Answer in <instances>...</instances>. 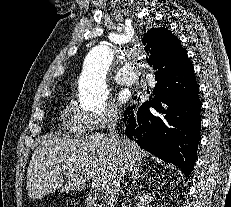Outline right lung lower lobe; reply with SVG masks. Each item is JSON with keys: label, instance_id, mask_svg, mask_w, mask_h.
I'll list each match as a JSON object with an SVG mask.
<instances>
[{"label": "right lung lower lobe", "instance_id": "obj_1", "mask_svg": "<svg viewBox=\"0 0 231 207\" xmlns=\"http://www.w3.org/2000/svg\"><path fill=\"white\" fill-rule=\"evenodd\" d=\"M154 30H148L144 38ZM155 79L150 101L138 110L128 107L124 112L125 134L160 159L177 165L187 177L196 161L201 126L199 89L192 64L189 61L159 68Z\"/></svg>", "mask_w": 231, "mask_h": 207}]
</instances>
